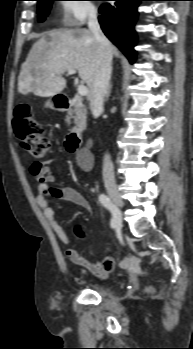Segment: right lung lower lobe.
Returning <instances> with one entry per match:
<instances>
[{"label": "right lung lower lobe", "mask_w": 193, "mask_h": 349, "mask_svg": "<svg viewBox=\"0 0 193 349\" xmlns=\"http://www.w3.org/2000/svg\"><path fill=\"white\" fill-rule=\"evenodd\" d=\"M108 1V0H99ZM114 5L104 4L98 17L101 28L105 35L134 62L136 42L134 24L137 19V6L145 0H115Z\"/></svg>", "instance_id": "98d812e1"}]
</instances>
